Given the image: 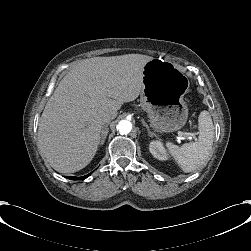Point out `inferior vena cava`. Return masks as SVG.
Returning a JSON list of instances; mask_svg holds the SVG:
<instances>
[{"instance_id": "602c4592", "label": "inferior vena cava", "mask_w": 251, "mask_h": 251, "mask_svg": "<svg viewBox=\"0 0 251 251\" xmlns=\"http://www.w3.org/2000/svg\"><path fill=\"white\" fill-rule=\"evenodd\" d=\"M116 117V113H112L109 116H106L102 119L103 124L110 122V120L114 119Z\"/></svg>"}]
</instances>
